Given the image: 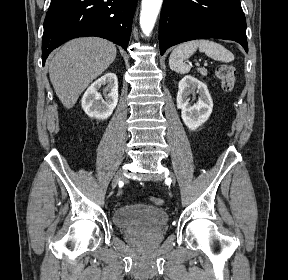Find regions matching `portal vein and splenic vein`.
Masks as SVG:
<instances>
[{"label": "portal vein and splenic vein", "instance_id": "portal-vein-and-splenic-vein-1", "mask_svg": "<svg viewBox=\"0 0 288 280\" xmlns=\"http://www.w3.org/2000/svg\"><path fill=\"white\" fill-rule=\"evenodd\" d=\"M197 66H199V64H196ZM204 66H207V63H204Z\"/></svg>", "mask_w": 288, "mask_h": 280}]
</instances>
